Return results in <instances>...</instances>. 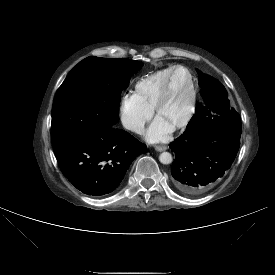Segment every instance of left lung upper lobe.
Wrapping results in <instances>:
<instances>
[{"label": "left lung upper lobe", "instance_id": "obj_1", "mask_svg": "<svg viewBox=\"0 0 275 275\" xmlns=\"http://www.w3.org/2000/svg\"><path fill=\"white\" fill-rule=\"evenodd\" d=\"M200 86L204 104L197 106L184 133L209 125L222 126L235 134H241V120L239 114L230 107L228 94L224 86L216 79L205 75L201 71Z\"/></svg>", "mask_w": 275, "mask_h": 275}]
</instances>
